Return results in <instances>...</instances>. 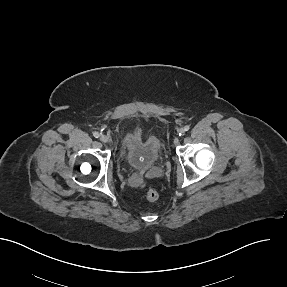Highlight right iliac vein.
Returning a JSON list of instances; mask_svg holds the SVG:
<instances>
[{
    "instance_id": "63e3f726",
    "label": "right iliac vein",
    "mask_w": 287,
    "mask_h": 287,
    "mask_svg": "<svg viewBox=\"0 0 287 287\" xmlns=\"http://www.w3.org/2000/svg\"><path fill=\"white\" fill-rule=\"evenodd\" d=\"M100 140H101V142H103V143H108V142H109V137L106 136V135H101V136H100Z\"/></svg>"
}]
</instances>
